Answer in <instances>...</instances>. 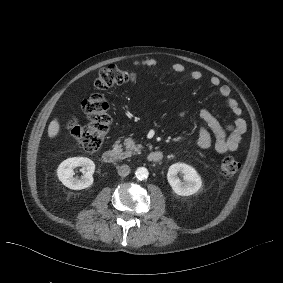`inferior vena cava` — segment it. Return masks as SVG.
I'll use <instances>...</instances> for the list:
<instances>
[{
    "label": "inferior vena cava",
    "mask_w": 283,
    "mask_h": 283,
    "mask_svg": "<svg viewBox=\"0 0 283 283\" xmlns=\"http://www.w3.org/2000/svg\"><path fill=\"white\" fill-rule=\"evenodd\" d=\"M117 171L120 176L125 177L130 174V167L128 165H121Z\"/></svg>",
    "instance_id": "inferior-vena-cava-1"
}]
</instances>
